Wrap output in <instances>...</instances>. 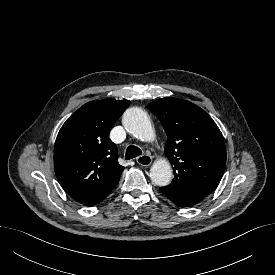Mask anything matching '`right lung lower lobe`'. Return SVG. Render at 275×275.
<instances>
[{
    "mask_svg": "<svg viewBox=\"0 0 275 275\" xmlns=\"http://www.w3.org/2000/svg\"><path fill=\"white\" fill-rule=\"evenodd\" d=\"M102 199H103V198L96 199V200H92V201L86 202L85 204H88V205H95V204L99 203Z\"/></svg>",
    "mask_w": 275,
    "mask_h": 275,
    "instance_id": "1",
    "label": "right lung lower lobe"
}]
</instances>
